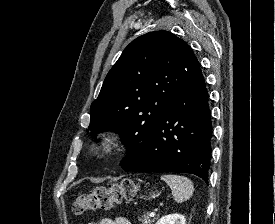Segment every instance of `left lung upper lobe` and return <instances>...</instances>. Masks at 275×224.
Wrapping results in <instances>:
<instances>
[{
  "label": "left lung upper lobe",
  "instance_id": "obj_1",
  "mask_svg": "<svg viewBox=\"0 0 275 224\" xmlns=\"http://www.w3.org/2000/svg\"><path fill=\"white\" fill-rule=\"evenodd\" d=\"M199 68L189 45L168 31L136 38L110 69L92 103L89 130L120 134L128 148L123 167L138 156L150 131Z\"/></svg>",
  "mask_w": 275,
  "mask_h": 224
}]
</instances>
